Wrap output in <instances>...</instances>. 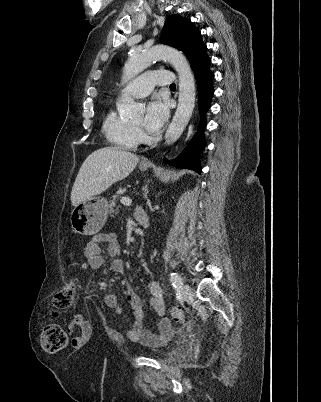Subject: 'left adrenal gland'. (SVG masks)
<instances>
[{
	"label": "left adrenal gland",
	"mask_w": 321,
	"mask_h": 402,
	"mask_svg": "<svg viewBox=\"0 0 321 402\" xmlns=\"http://www.w3.org/2000/svg\"><path fill=\"white\" fill-rule=\"evenodd\" d=\"M143 191H144V196L147 197V194H148V187H147V185L143 188Z\"/></svg>",
	"instance_id": "a2214340"
}]
</instances>
